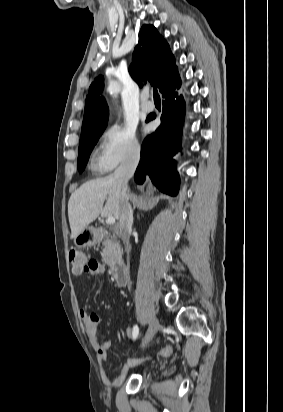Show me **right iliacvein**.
I'll list each match as a JSON object with an SVG mask.
<instances>
[{
  "mask_svg": "<svg viewBox=\"0 0 283 412\" xmlns=\"http://www.w3.org/2000/svg\"><path fill=\"white\" fill-rule=\"evenodd\" d=\"M158 329H159V322L156 317H152L150 320L149 329L141 344L142 348H144L153 339Z\"/></svg>",
  "mask_w": 283,
  "mask_h": 412,
  "instance_id": "1",
  "label": "right iliac vein"
}]
</instances>
